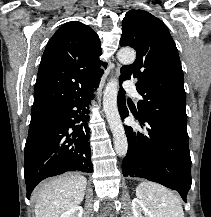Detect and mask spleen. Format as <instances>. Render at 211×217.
<instances>
[{
	"label": "spleen",
	"mask_w": 211,
	"mask_h": 217,
	"mask_svg": "<svg viewBox=\"0 0 211 217\" xmlns=\"http://www.w3.org/2000/svg\"><path fill=\"white\" fill-rule=\"evenodd\" d=\"M136 196L154 217H184L179 198L160 184L141 182L136 188Z\"/></svg>",
	"instance_id": "3e777b00"
}]
</instances>
